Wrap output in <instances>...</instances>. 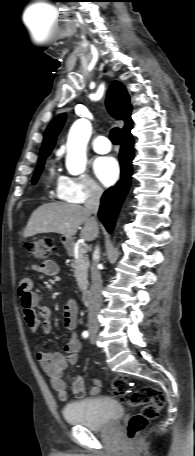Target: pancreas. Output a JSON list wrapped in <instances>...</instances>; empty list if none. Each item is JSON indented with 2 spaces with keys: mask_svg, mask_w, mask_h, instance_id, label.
Instances as JSON below:
<instances>
[{
  "mask_svg": "<svg viewBox=\"0 0 195 456\" xmlns=\"http://www.w3.org/2000/svg\"><path fill=\"white\" fill-rule=\"evenodd\" d=\"M70 256L73 257L71 266L73 268L74 276L77 281V285L81 291H85L88 286V268L89 259L85 253H82L79 249L78 253L75 254L74 250L69 252Z\"/></svg>",
  "mask_w": 195,
  "mask_h": 456,
  "instance_id": "cf45deb5",
  "label": "pancreas"
}]
</instances>
